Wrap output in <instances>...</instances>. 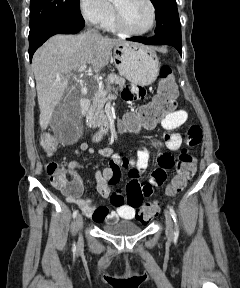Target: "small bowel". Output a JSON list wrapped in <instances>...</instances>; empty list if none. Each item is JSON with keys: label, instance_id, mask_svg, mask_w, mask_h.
Instances as JSON below:
<instances>
[{"label": "small bowel", "instance_id": "c3829d8e", "mask_svg": "<svg viewBox=\"0 0 240 288\" xmlns=\"http://www.w3.org/2000/svg\"><path fill=\"white\" fill-rule=\"evenodd\" d=\"M145 96V89L136 85H128L122 92V98L128 103L143 99ZM187 120L188 113L183 109L167 114L160 121L162 130L164 131L163 139L156 141L155 144L157 146H166L172 151L178 150L183 142L189 146L197 145L202 139V130L198 125L190 126L184 137L176 132ZM83 152L93 154L94 149L83 142L77 146L75 153L81 154ZM99 154L104 157H111V162L103 170L96 171L97 190L102 197H110L114 210L109 211L107 207L98 206L90 199L68 196L69 202L76 204L89 219L97 223H114L119 219H133L135 217V208L125 202L127 193L131 190H136L142 198L150 196L154 186H160L166 181L167 172L173 164V158L170 154L166 152L159 153L158 167L151 172L147 181L140 182L139 178L147 169L150 158V152L147 148H141L137 152V157L134 161L114 154L113 150L108 147L100 149ZM67 168L71 174L79 178L77 174V170L80 168L79 162L75 160L70 161L67 164ZM122 169L129 170L130 181L127 184L126 190L116 189L112 191V186L120 180Z\"/></svg>", "mask_w": 240, "mask_h": 288}]
</instances>
